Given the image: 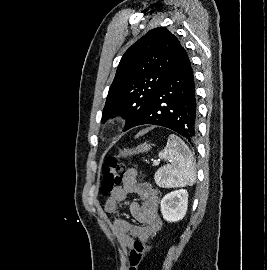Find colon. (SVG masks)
<instances>
[{
	"mask_svg": "<svg viewBox=\"0 0 267 270\" xmlns=\"http://www.w3.org/2000/svg\"><path fill=\"white\" fill-rule=\"evenodd\" d=\"M124 175L123 164L114 156L104 160L100 192L110 194L119 187ZM148 250L147 243L137 240L128 256L129 270H138Z\"/></svg>",
	"mask_w": 267,
	"mask_h": 270,
	"instance_id": "1",
	"label": "colon"
}]
</instances>
